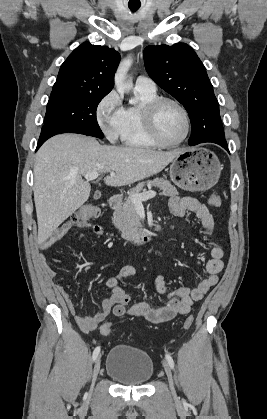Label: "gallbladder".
<instances>
[{
    "mask_svg": "<svg viewBox=\"0 0 267 419\" xmlns=\"http://www.w3.org/2000/svg\"><path fill=\"white\" fill-rule=\"evenodd\" d=\"M101 196V193L99 191L96 192L95 197L99 198Z\"/></svg>",
    "mask_w": 267,
    "mask_h": 419,
    "instance_id": "obj_1",
    "label": "gallbladder"
}]
</instances>
